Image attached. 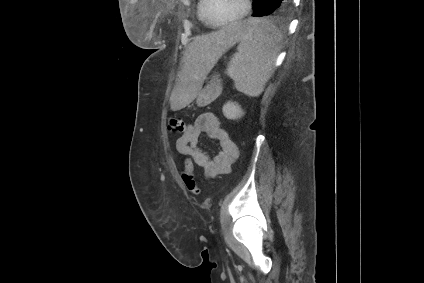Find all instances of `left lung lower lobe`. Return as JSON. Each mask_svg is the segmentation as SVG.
I'll return each mask as SVG.
<instances>
[{
  "instance_id": "left-lung-lower-lobe-1",
  "label": "left lung lower lobe",
  "mask_w": 424,
  "mask_h": 283,
  "mask_svg": "<svg viewBox=\"0 0 424 283\" xmlns=\"http://www.w3.org/2000/svg\"><path fill=\"white\" fill-rule=\"evenodd\" d=\"M292 0H257L253 6L254 17H264L274 14L280 10L285 11L290 6Z\"/></svg>"
}]
</instances>
